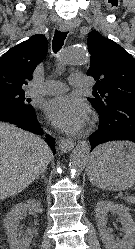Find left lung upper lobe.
Masks as SVG:
<instances>
[{
	"mask_svg": "<svg viewBox=\"0 0 135 249\" xmlns=\"http://www.w3.org/2000/svg\"><path fill=\"white\" fill-rule=\"evenodd\" d=\"M91 54L87 75L96 80L93 96L88 98L97 112L115 104H135V59L114 41L91 31L87 39Z\"/></svg>",
	"mask_w": 135,
	"mask_h": 249,
	"instance_id": "obj_1",
	"label": "left lung upper lobe"
}]
</instances>
